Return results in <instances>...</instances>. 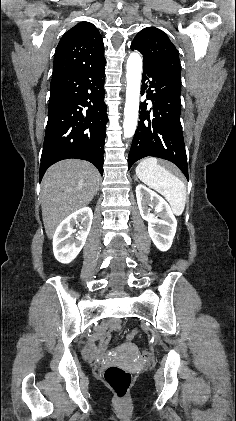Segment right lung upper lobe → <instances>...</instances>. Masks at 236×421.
<instances>
[{
	"mask_svg": "<svg viewBox=\"0 0 236 421\" xmlns=\"http://www.w3.org/2000/svg\"><path fill=\"white\" fill-rule=\"evenodd\" d=\"M104 61V44L98 29L89 22H80L60 39L55 51L52 77Z\"/></svg>",
	"mask_w": 236,
	"mask_h": 421,
	"instance_id": "1",
	"label": "right lung upper lobe"
}]
</instances>
